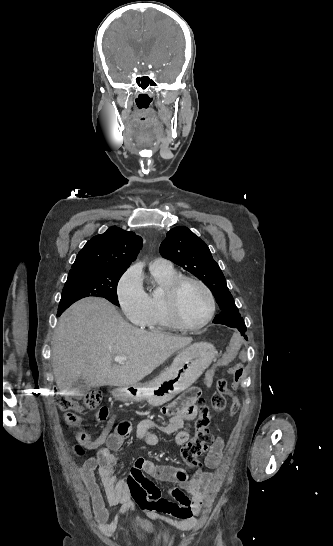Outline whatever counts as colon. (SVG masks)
<instances>
[{"mask_svg": "<svg viewBox=\"0 0 333 546\" xmlns=\"http://www.w3.org/2000/svg\"><path fill=\"white\" fill-rule=\"evenodd\" d=\"M245 372L246 369L242 365H236L229 368V373L234 375L231 377L230 382L235 388L241 387V380L244 379ZM228 395H231V389L229 388L227 380L221 378L217 380L216 391L211 396V409L202 399L196 401L194 406L197 413L195 434L181 449V456L189 466L197 467L199 465V456L207 450L208 445L212 440L210 431L212 410L216 412L224 410L227 404L226 396ZM194 396L195 394H189L185 398V403H188ZM101 398V394L98 392L88 393L84 397L83 406L88 409H94L99 406ZM57 403L60 410L67 411L64 416L66 424L72 428H80L82 426V419L77 412L81 410L82 406L74 399L65 395L58 396ZM108 414V408L106 406L101 407L97 413V420L100 422L105 421ZM106 453H108V449L101 448L99 455H105Z\"/></svg>", "mask_w": 333, "mask_h": 546, "instance_id": "1", "label": "colon"}]
</instances>
